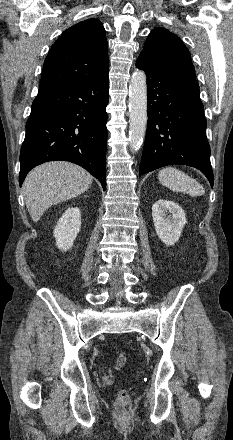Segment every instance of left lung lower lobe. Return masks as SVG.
Returning <instances> with one entry per match:
<instances>
[{
    "label": "left lung lower lobe",
    "mask_w": 233,
    "mask_h": 440,
    "mask_svg": "<svg viewBox=\"0 0 233 440\" xmlns=\"http://www.w3.org/2000/svg\"><path fill=\"white\" fill-rule=\"evenodd\" d=\"M147 76L148 124L139 176L170 164L202 171L213 187L204 107L195 78L162 71L138 57Z\"/></svg>",
    "instance_id": "1"
}]
</instances>
